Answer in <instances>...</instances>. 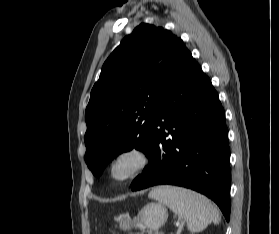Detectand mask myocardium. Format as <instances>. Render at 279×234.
Listing matches in <instances>:
<instances>
[{
    "label": "myocardium",
    "mask_w": 279,
    "mask_h": 234,
    "mask_svg": "<svg viewBox=\"0 0 279 234\" xmlns=\"http://www.w3.org/2000/svg\"><path fill=\"white\" fill-rule=\"evenodd\" d=\"M150 160L146 150L139 146H130L119 151L110 161L107 174L114 184H125L137 177L148 165ZM128 164L123 174L117 170L122 164Z\"/></svg>",
    "instance_id": "1"
}]
</instances>
